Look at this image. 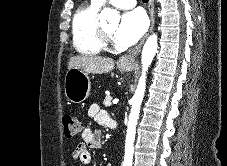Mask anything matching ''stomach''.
<instances>
[{
    "label": "stomach",
    "mask_w": 227,
    "mask_h": 166,
    "mask_svg": "<svg viewBox=\"0 0 227 166\" xmlns=\"http://www.w3.org/2000/svg\"><path fill=\"white\" fill-rule=\"evenodd\" d=\"M120 69L129 72L133 69V65H123ZM64 89L68 101L75 104L82 103L90 95L91 82L88 73L77 68L69 69L65 75Z\"/></svg>",
    "instance_id": "obj_1"
}]
</instances>
